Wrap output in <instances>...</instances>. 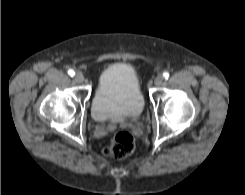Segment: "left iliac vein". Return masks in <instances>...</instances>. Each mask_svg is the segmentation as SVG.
Instances as JSON below:
<instances>
[{
    "instance_id": "obj_1",
    "label": "left iliac vein",
    "mask_w": 245,
    "mask_h": 195,
    "mask_svg": "<svg viewBox=\"0 0 245 195\" xmlns=\"http://www.w3.org/2000/svg\"><path fill=\"white\" fill-rule=\"evenodd\" d=\"M164 81V77L162 75H158L155 80H154V84L156 86H160Z\"/></svg>"
}]
</instances>
